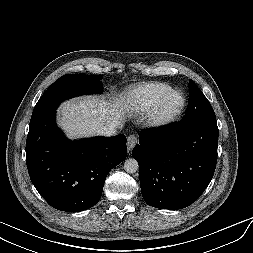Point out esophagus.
I'll return each instance as SVG.
<instances>
[{"mask_svg":"<svg viewBox=\"0 0 253 253\" xmlns=\"http://www.w3.org/2000/svg\"><path fill=\"white\" fill-rule=\"evenodd\" d=\"M138 143V139L135 135H130L127 138V149L128 152L130 153L133 148L135 147V145Z\"/></svg>","mask_w":253,"mask_h":253,"instance_id":"1","label":"esophagus"}]
</instances>
